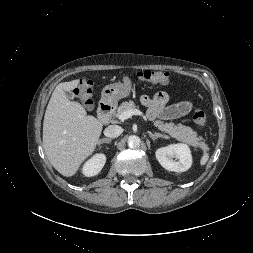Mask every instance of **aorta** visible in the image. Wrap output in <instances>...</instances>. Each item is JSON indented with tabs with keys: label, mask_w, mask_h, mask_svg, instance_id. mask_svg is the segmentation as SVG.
<instances>
[{
	"label": "aorta",
	"mask_w": 253,
	"mask_h": 253,
	"mask_svg": "<svg viewBox=\"0 0 253 253\" xmlns=\"http://www.w3.org/2000/svg\"><path fill=\"white\" fill-rule=\"evenodd\" d=\"M127 143L129 147L135 148V147L140 146L141 139L136 135H131L129 136Z\"/></svg>",
	"instance_id": "aorta-1"
}]
</instances>
